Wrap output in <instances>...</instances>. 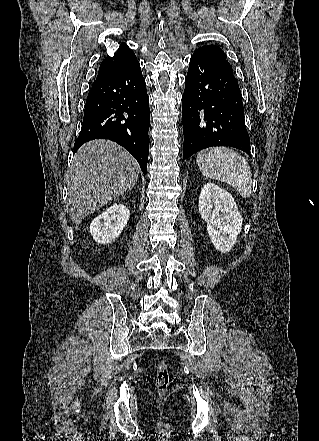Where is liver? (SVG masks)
Instances as JSON below:
<instances>
[{
    "label": "liver",
    "mask_w": 319,
    "mask_h": 441,
    "mask_svg": "<svg viewBox=\"0 0 319 441\" xmlns=\"http://www.w3.org/2000/svg\"><path fill=\"white\" fill-rule=\"evenodd\" d=\"M139 172L137 161L116 143L105 139L85 143L68 170L67 201L74 224L130 191Z\"/></svg>",
    "instance_id": "1"
}]
</instances>
